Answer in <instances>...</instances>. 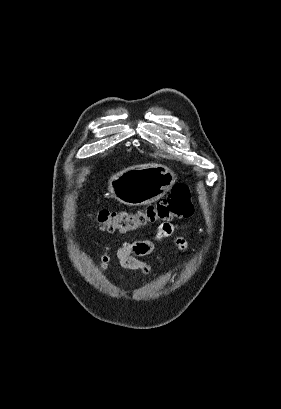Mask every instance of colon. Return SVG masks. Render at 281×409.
Returning <instances> with one entry per match:
<instances>
[{"instance_id":"obj_1","label":"colon","mask_w":281,"mask_h":409,"mask_svg":"<svg viewBox=\"0 0 281 409\" xmlns=\"http://www.w3.org/2000/svg\"><path fill=\"white\" fill-rule=\"evenodd\" d=\"M190 195L187 185H177L168 196L146 207L134 211L99 210L93 218L108 232L132 233L158 222L189 216L193 207Z\"/></svg>"}]
</instances>
